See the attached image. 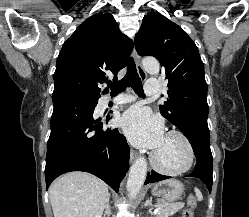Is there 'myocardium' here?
<instances>
[{"label":"myocardium","instance_id":"1","mask_svg":"<svg viewBox=\"0 0 249 217\" xmlns=\"http://www.w3.org/2000/svg\"><path fill=\"white\" fill-rule=\"evenodd\" d=\"M165 137H176L183 143L186 149V152H187L185 163L182 166L177 167V168L165 167L158 161L156 157V152L153 151L150 155L151 165L158 172L165 174V175H170V176L180 175L190 170L195 160V151L189 138L183 132L179 130H170L165 134Z\"/></svg>","mask_w":249,"mask_h":217}]
</instances>
